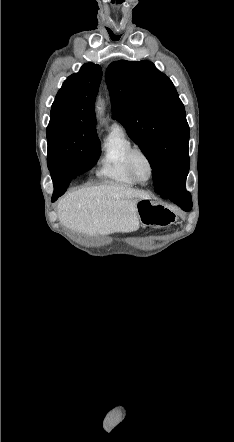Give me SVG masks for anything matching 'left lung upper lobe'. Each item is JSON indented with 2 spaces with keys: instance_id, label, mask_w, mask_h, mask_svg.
<instances>
[{
  "instance_id": "1",
  "label": "left lung upper lobe",
  "mask_w": 234,
  "mask_h": 442,
  "mask_svg": "<svg viewBox=\"0 0 234 442\" xmlns=\"http://www.w3.org/2000/svg\"><path fill=\"white\" fill-rule=\"evenodd\" d=\"M106 82L113 118L149 160L155 192H179L189 171V126L173 83L149 61L126 60L108 66Z\"/></svg>"
}]
</instances>
